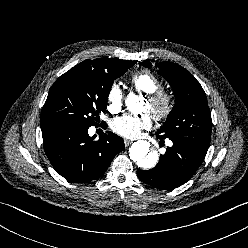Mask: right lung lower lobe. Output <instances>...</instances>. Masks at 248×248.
I'll return each instance as SVG.
<instances>
[{
    "label": "right lung lower lobe",
    "mask_w": 248,
    "mask_h": 248,
    "mask_svg": "<svg viewBox=\"0 0 248 248\" xmlns=\"http://www.w3.org/2000/svg\"><path fill=\"white\" fill-rule=\"evenodd\" d=\"M89 127L58 125L42 128L43 146L54 169L71 182L101 177L114 156L124 149L123 139L112 132L88 135Z\"/></svg>",
    "instance_id": "obj_1"
}]
</instances>
